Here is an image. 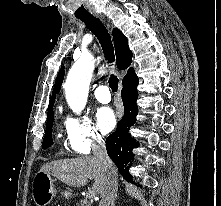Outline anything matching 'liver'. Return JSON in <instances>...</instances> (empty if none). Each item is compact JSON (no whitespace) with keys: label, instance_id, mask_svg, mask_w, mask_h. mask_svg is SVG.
Listing matches in <instances>:
<instances>
[{"label":"liver","instance_id":"6515ba94","mask_svg":"<svg viewBox=\"0 0 221 206\" xmlns=\"http://www.w3.org/2000/svg\"><path fill=\"white\" fill-rule=\"evenodd\" d=\"M40 171L74 187L84 186L88 179L93 178L92 189L100 195L104 191L107 179L98 159L90 156L55 160L43 165ZM115 172L117 176L116 168Z\"/></svg>","mask_w":221,"mask_h":206}]
</instances>
